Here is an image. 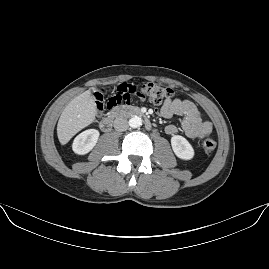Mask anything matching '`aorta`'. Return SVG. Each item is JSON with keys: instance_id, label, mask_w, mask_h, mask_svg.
<instances>
[{"instance_id": "762f6f07", "label": "aorta", "mask_w": 269, "mask_h": 269, "mask_svg": "<svg viewBox=\"0 0 269 269\" xmlns=\"http://www.w3.org/2000/svg\"><path fill=\"white\" fill-rule=\"evenodd\" d=\"M129 126L132 128H138L142 125V119L139 116H134L129 119Z\"/></svg>"}]
</instances>
